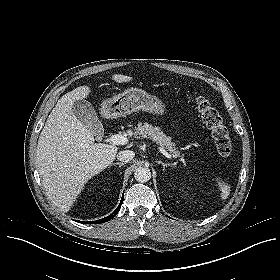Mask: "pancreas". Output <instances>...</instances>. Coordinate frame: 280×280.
Returning <instances> with one entry per match:
<instances>
[{"label":"pancreas","instance_id":"1","mask_svg":"<svg viewBox=\"0 0 280 280\" xmlns=\"http://www.w3.org/2000/svg\"><path fill=\"white\" fill-rule=\"evenodd\" d=\"M134 136L137 138H150L167 149V151L174 157L180 155V152L176 148L175 143L171 141V137L166 136L158 126H153L151 124H148L147 122L144 124L139 122L137 128H135Z\"/></svg>","mask_w":280,"mask_h":280}]
</instances>
